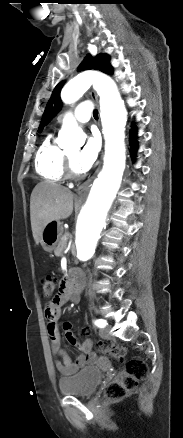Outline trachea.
Returning a JSON list of instances; mask_svg holds the SVG:
<instances>
[{
  "instance_id": "1",
  "label": "trachea",
  "mask_w": 183,
  "mask_h": 438,
  "mask_svg": "<svg viewBox=\"0 0 183 438\" xmlns=\"http://www.w3.org/2000/svg\"><path fill=\"white\" fill-rule=\"evenodd\" d=\"M93 116L95 119H98V111L97 110L93 111Z\"/></svg>"
}]
</instances>
